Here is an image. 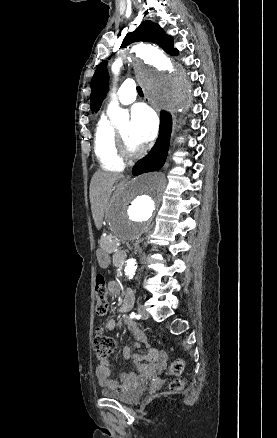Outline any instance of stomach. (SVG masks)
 I'll list each match as a JSON object with an SVG mask.
<instances>
[{
    "label": "stomach",
    "instance_id": "obj_1",
    "mask_svg": "<svg viewBox=\"0 0 277 438\" xmlns=\"http://www.w3.org/2000/svg\"><path fill=\"white\" fill-rule=\"evenodd\" d=\"M98 263L102 268H106L110 264V256L109 253L105 251H98L97 253Z\"/></svg>",
    "mask_w": 277,
    "mask_h": 438
}]
</instances>
